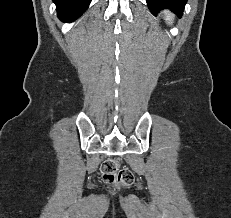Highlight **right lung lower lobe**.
I'll return each instance as SVG.
<instances>
[{"instance_id": "1", "label": "right lung lower lobe", "mask_w": 231, "mask_h": 218, "mask_svg": "<svg viewBox=\"0 0 231 218\" xmlns=\"http://www.w3.org/2000/svg\"><path fill=\"white\" fill-rule=\"evenodd\" d=\"M56 4L58 17L68 20L81 15L89 6L91 0H53Z\"/></svg>"}]
</instances>
